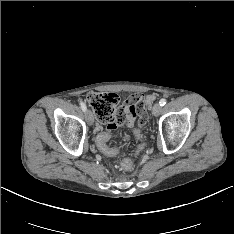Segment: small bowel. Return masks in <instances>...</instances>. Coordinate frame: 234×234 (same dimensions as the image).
Masks as SVG:
<instances>
[{"instance_id":"small-bowel-1","label":"small bowel","mask_w":234,"mask_h":234,"mask_svg":"<svg viewBox=\"0 0 234 234\" xmlns=\"http://www.w3.org/2000/svg\"><path fill=\"white\" fill-rule=\"evenodd\" d=\"M145 98L146 96L143 95H134L121 106V111L127 116L126 125L129 129H134L135 121H137L140 128H143L148 122L149 115L144 110L146 105Z\"/></svg>"}]
</instances>
